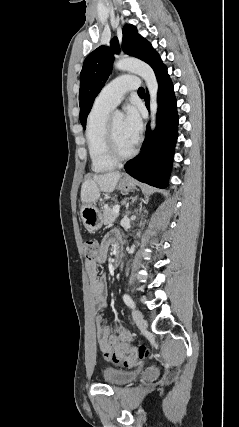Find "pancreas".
I'll list each match as a JSON object with an SVG mask.
<instances>
[{
    "mask_svg": "<svg viewBox=\"0 0 239 427\" xmlns=\"http://www.w3.org/2000/svg\"><path fill=\"white\" fill-rule=\"evenodd\" d=\"M103 223L105 225L111 224L115 221V219L119 216V213H114L113 209L109 206H104L103 208Z\"/></svg>",
    "mask_w": 239,
    "mask_h": 427,
    "instance_id": "obj_1",
    "label": "pancreas"
}]
</instances>
